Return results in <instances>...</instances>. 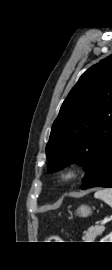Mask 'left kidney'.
Here are the masks:
<instances>
[{
  "instance_id": "obj_1",
  "label": "left kidney",
  "mask_w": 112,
  "mask_h": 270,
  "mask_svg": "<svg viewBox=\"0 0 112 270\" xmlns=\"http://www.w3.org/2000/svg\"><path fill=\"white\" fill-rule=\"evenodd\" d=\"M101 242H112V232L108 236L103 238Z\"/></svg>"
}]
</instances>
